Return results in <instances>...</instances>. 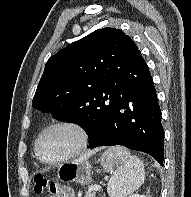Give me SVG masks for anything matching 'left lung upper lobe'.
Wrapping results in <instances>:
<instances>
[{
	"label": "left lung upper lobe",
	"instance_id": "left-lung-upper-lobe-1",
	"mask_svg": "<svg viewBox=\"0 0 191 197\" xmlns=\"http://www.w3.org/2000/svg\"><path fill=\"white\" fill-rule=\"evenodd\" d=\"M145 68L141 52L124 32L96 30L47 61L32 106L87 132V119L118 88L122 76Z\"/></svg>",
	"mask_w": 191,
	"mask_h": 197
}]
</instances>
